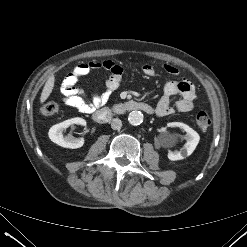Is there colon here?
Segmentation results:
<instances>
[{"instance_id": "colon-1", "label": "colon", "mask_w": 247, "mask_h": 247, "mask_svg": "<svg viewBox=\"0 0 247 247\" xmlns=\"http://www.w3.org/2000/svg\"><path fill=\"white\" fill-rule=\"evenodd\" d=\"M59 111V106L53 101L45 103L41 112L46 117H52ZM195 123L200 130H207L211 125V118L206 111H198L195 115Z\"/></svg>"}]
</instances>
